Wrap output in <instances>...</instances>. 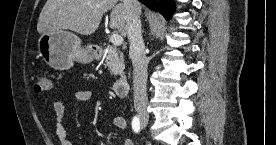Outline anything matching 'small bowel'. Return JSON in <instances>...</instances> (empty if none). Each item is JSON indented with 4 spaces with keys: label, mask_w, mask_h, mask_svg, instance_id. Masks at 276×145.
I'll list each match as a JSON object with an SVG mask.
<instances>
[{
    "label": "small bowel",
    "mask_w": 276,
    "mask_h": 145,
    "mask_svg": "<svg viewBox=\"0 0 276 145\" xmlns=\"http://www.w3.org/2000/svg\"><path fill=\"white\" fill-rule=\"evenodd\" d=\"M73 97L79 102H88L91 100L92 95L88 90L78 89L73 92ZM54 113L56 116V135L61 145H73L68 137L67 130L64 125V119L66 116V105L62 100H57L53 105ZM113 125L119 130H123L126 127V121L123 117L117 116L113 119ZM123 145H133L130 139H126Z\"/></svg>",
    "instance_id": "c3829d8e"
}]
</instances>
